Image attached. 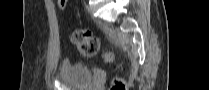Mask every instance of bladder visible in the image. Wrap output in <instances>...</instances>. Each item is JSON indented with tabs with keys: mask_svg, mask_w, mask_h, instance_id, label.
<instances>
[{
	"mask_svg": "<svg viewBox=\"0 0 209 90\" xmlns=\"http://www.w3.org/2000/svg\"><path fill=\"white\" fill-rule=\"evenodd\" d=\"M60 77L71 85L87 88L92 81L90 68L83 63H72L64 58L60 62Z\"/></svg>",
	"mask_w": 209,
	"mask_h": 90,
	"instance_id": "31cf9c89",
	"label": "bladder"
}]
</instances>
